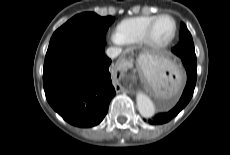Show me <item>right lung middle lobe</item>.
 I'll use <instances>...</instances> for the list:
<instances>
[{
  "label": "right lung middle lobe",
  "instance_id": "dd1d6c3e",
  "mask_svg": "<svg viewBox=\"0 0 230 155\" xmlns=\"http://www.w3.org/2000/svg\"><path fill=\"white\" fill-rule=\"evenodd\" d=\"M114 17H100L93 12L78 14L58 28L51 37L47 52L67 45L105 44V36Z\"/></svg>",
  "mask_w": 230,
  "mask_h": 155
}]
</instances>
